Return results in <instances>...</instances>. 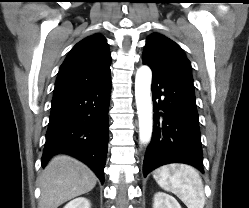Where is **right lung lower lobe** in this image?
<instances>
[{
	"label": "right lung lower lobe",
	"instance_id": "98d812e1",
	"mask_svg": "<svg viewBox=\"0 0 249 208\" xmlns=\"http://www.w3.org/2000/svg\"><path fill=\"white\" fill-rule=\"evenodd\" d=\"M110 77L93 86L53 96L42 166L55 154L87 164L104 182L108 148Z\"/></svg>",
	"mask_w": 249,
	"mask_h": 208
}]
</instances>
